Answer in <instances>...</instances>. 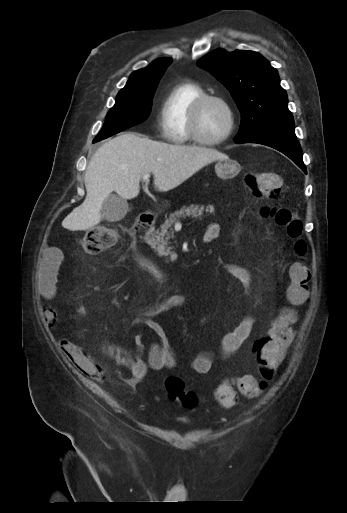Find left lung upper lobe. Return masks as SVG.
<instances>
[{
    "instance_id": "1",
    "label": "left lung upper lobe",
    "mask_w": 347,
    "mask_h": 513,
    "mask_svg": "<svg viewBox=\"0 0 347 513\" xmlns=\"http://www.w3.org/2000/svg\"><path fill=\"white\" fill-rule=\"evenodd\" d=\"M197 64L210 71L230 91L241 112L235 141L268 126L294 123L278 73L260 54L239 50L227 53L218 49Z\"/></svg>"
}]
</instances>
